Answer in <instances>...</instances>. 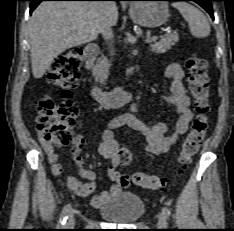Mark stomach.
Returning <instances> with one entry per match:
<instances>
[{
	"label": "stomach",
	"instance_id": "0dacf381",
	"mask_svg": "<svg viewBox=\"0 0 234 231\" xmlns=\"http://www.w3.org/2000/svg\"><path fill=\"white\" fill-rule=\"evenodd\" d=\"M129 15L140 26L155 28L167 22L168 3L158 0H146L130 4Z\"/></svg>",
	"mask_w": 234,
	"mask_h": 231
}]
</instances>
